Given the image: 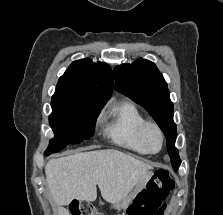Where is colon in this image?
Listing matches in <instances>:
<instances>
[{"label": "colon", "mask_w": 223, "mask_h": 215, "mask_svg": "<svg viewBox=\"0 0 223 215\" xmlns=\"http://www.w3.org/2000/svg\"><path fill=\"white\" fill-rule=\"evenodd\" d=\"M174 188V181L166 170H157L128 208L129 215H158L163 209V202ZM71 215H104L91 204L73 202L70 204Z\"/></svg>", "instance_id": "1"}]
</instances>
